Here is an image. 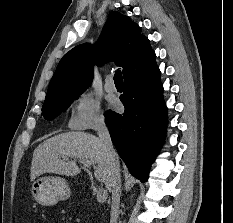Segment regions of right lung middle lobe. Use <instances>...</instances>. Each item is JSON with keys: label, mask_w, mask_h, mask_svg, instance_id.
Instances as JSON below:
<instances>
[{"label": "right lung middle lobe", "mask_w": 233, "mask_h": 223, "mask_svg": "<svg viewBox=\"0 0 233 223\" xmlns=\"http://www.w3.org/2000/svg\"><path fill=\"white\" fill-rule=\"evenodd\" d=\"M83 92L84 91L72 94L56 103L43 105L42 115L47 120L54 119L55 117L59 116L62 111L66 110L70 106L73 97L77 98V96L82 94Z\"/></svg>", "instance_id": "obj_1"}]
</instances>
